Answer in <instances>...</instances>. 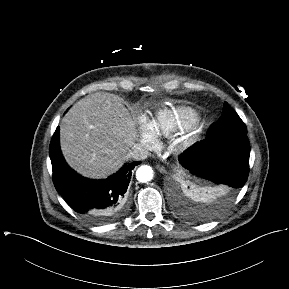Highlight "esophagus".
<instances>
[{"label":"esophagus","instance_id":"obj_1","mask_svg":"<svg viewBox=\"0 0 289 289\" xmlns=\"http://www.w3.org/2000/svg\"><path fill=\"white\" fill-rule=\"evenodd\" d=\"M156 169L158 170V171H160L161 173H166V169H165V167L164 166H162V165H160V164H157L156 165Z\"/></svg>","mask_w":289,"mask_h":289}]
</instances>
